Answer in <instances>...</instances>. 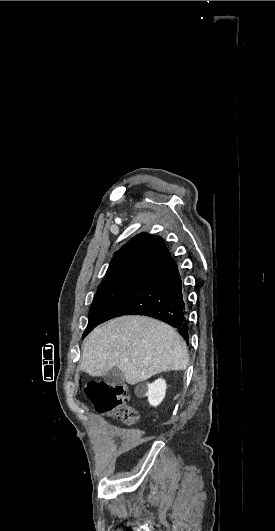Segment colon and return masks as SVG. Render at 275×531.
Wrapping results in <instances>:
<instances>
[{"mask_svg": "<svg viewBox=\"0 0 275 531\" xmlns=\"http://www.w3.org/2000/svg\"><path fill=\"white\" fill-rule=\"evenodd\" d=\"M80 387L86 386L85 380L79 381ZM86 395L95 410L121 420L125 425H133L138 418V411L128 404L129 389L127 385L115 381L91 380L85 389Z\"/></svg>", "mask_w": 275, "mask_h": 531, "instance_id": "5ec220e1", "label": "colon"}]
</instances>
